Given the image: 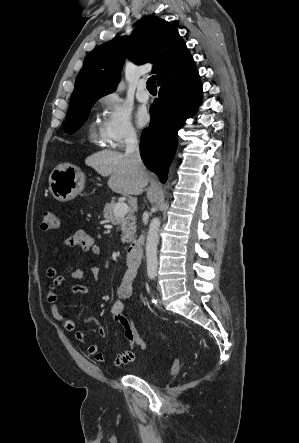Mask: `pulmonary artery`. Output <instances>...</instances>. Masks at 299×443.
<instances>
[{"label": "pulmonary artery", "instance_id": "pulmonary-artery-1", "mask_svg": "<svg viewBox=\"0 0 299 443\" xmlns=\"http://www.w3.org/2000/svg\"><path fill=\"white\" fill-rule=\"evenodd\" d=\"M136 97H137V100L140 102H147L149 100V93L146 90V81L145 80H141L139 82Z\"/></svg>", "mask_w": 299, "mask_h": 443}]
</instances>
